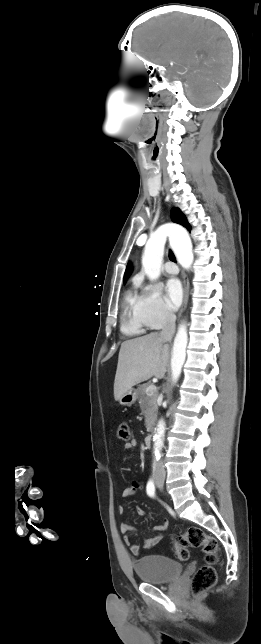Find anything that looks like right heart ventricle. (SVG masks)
<instances>
[{"label": "right heart ventricle", "instance_id": "1", "mask_svg": "<svg viewBox=\"0 0 261 644\" xmlns=\"http://www.w3.org/2000/svg\"><path fill=\"white\" fill-rule=\"evenodd\" d=\"M148 327L140 305V296L133 291H127L124 298L122 331L127 335H139Z\"/></svg>", "mask_w": 261, "mask_h": 644}]
</instances>
